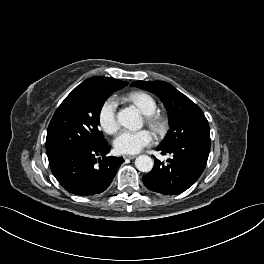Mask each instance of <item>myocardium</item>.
<instances>
[{
    "mask_svg": "<svg viewBox=\"0 0 264 264\" xmlns=\"http://www.w3.org/2000/svg\"><path fill=\"white\" fill-rule=\"evenodd\" d=\"M145 121L155 132L161 134L166 129L165 119L158 113L145 115Z\"/></svg>",
    "mask_w": 264,
    "mask_h": 264,
    "instance_id": "f54148a6",
    "label": "myocardium"
}]
</instances>
